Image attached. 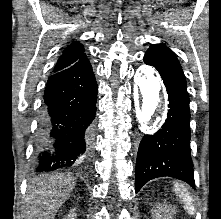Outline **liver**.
I'll use <instances>...</instances> for the list:
<instances>
[{"label":"liver","instance_id":"obj_1","mask_svg":"<svg viewBox=\"0 0 221 219\" xmlns=\"http://www.w3.org/2000/svg\"><path fill=\"white\" fill-rule=\"evenodd\" d=\"M75 182V177L63 174L33 180L25 197L27 219H53L73 191Z\"/></svg>","mask_w":221,"mask_h":219}]
</instances>
